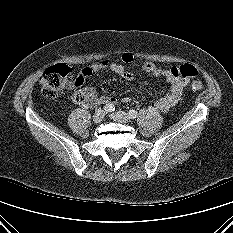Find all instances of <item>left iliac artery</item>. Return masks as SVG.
<instances>
[{
  "mask_svg": "<svg viewBox=\"0 0 233 233\" xmlns=\"http://www.w3.org/2000/svg\"><path fill=\"white\" fill-rule=\"evenodd\" d=\"M128 116L131 119H135L138 116V112L134 109L129 110Z\"/></svg>",
  "mask_w": 233,
  "mask_h": 233,
  "instance_id": "1",
  "label": "left iliac artery"
}]
</instances>
